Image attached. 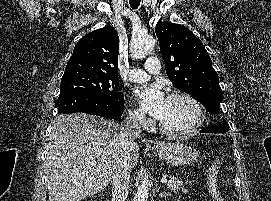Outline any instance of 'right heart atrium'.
<instances>
[{
  "instance_id": "1",
  "label": "right heart atrium",
  "mask_w": 271,
  "mask_h": 201,
  "mask_svg": "<svg viewBox=\"0 0 271 201\" xmlns=\"http://www.w3.org/2000/svg\"><path fill=\"white\" fill-rule=\"evenodd\" d=\"M129 119L138 126H144L147 123L145 114L140 109H131L129 111Z\"/></svg>"
}]
</instances>
